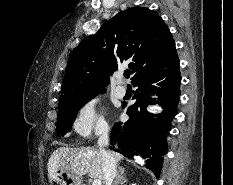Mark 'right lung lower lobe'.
<instances>
[{"instance_id":"right-lung-lower-lobe-1","label":"right lung lower lobe","mask_w":233,"mask_h":185,"mask_svg":"<svg viewBox=\"0 0 233 185\" xmlns=\"http://www.w3.org/2000/svg\"><path fill=\"white\" fill-rule=\"evenodd\" d=\"M132 83L137 87L133 97L136 102L127 110L129 120L114 124L110 136L112 145L110 149L127 157L140 153L143 158H148L146 166L158 178L162 156L167 151L165 138L170 130V122L177 114L179 103L181 84L179 59L141 73ZM154 93L159 96L157 101L150 97ZM155 103L163 109L157 115L146 110L148 105Z\"/></svg>"}]
</instances>
